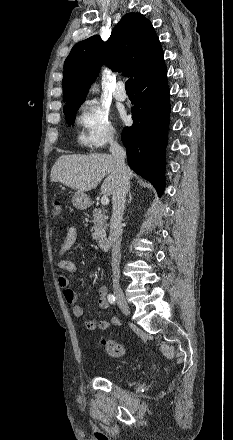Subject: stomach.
<instances>
[{"label":"stomach","instance_id":"1","mask_svg":"<svg viewBox=\"0 0 233 440\" xmlns=\"http://www.w3.org/2000/svg\"><path fill=\"white\" fill-rule=\"evenodd\" d=\"M72 204L79 210H84L90 206L89 197L84 192H76L72 197Z\"/></svg>","mask_w":233,"mask_h":440}]
</instances>
